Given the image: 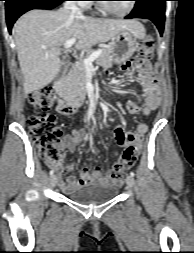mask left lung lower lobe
<instances>
[{
    "label": "left lung lower lobe",
    "mask_w": 194,
    "mask_h": 253,
    "mask_svg": "<svg viewBox=\"0 0 194 253\" xmlns=\"http://www.w3.org/2000/svg\"><path fill=\"white\" fill-rule=\"evenodd\" d=\"M135 7L132 12L125 18H146L154 22L163 34L165 22V2L167 0H134Z\"/></svg>",
    "instance_id": "obj_1"
}]
</instances>
